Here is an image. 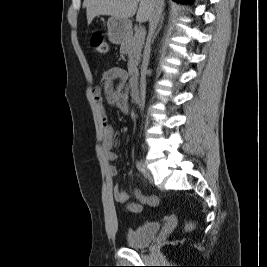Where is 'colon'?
I'll return each instance as SVG.
<instances>
[{
    "mask_svg": "<svg viewBox=\"0 0 267 267\" xmlns=\"http://www.w3.org/2000/svg\"><path fill=\"white\" fill-rule=\"evenodd\" d=\"M91 44L94 50L100 55H106L110 51V46L108 42L104 39V37L101 34L93 35L91 39ZM191 228H192V224L186 225V229L189 230Z\"/></svg>",
    "mask_w": 267,
    "mask_h": 267,
    "instance_id": "colon-1",
    "label": "colon"
}]
</instances>
